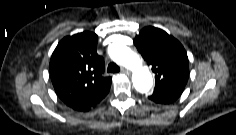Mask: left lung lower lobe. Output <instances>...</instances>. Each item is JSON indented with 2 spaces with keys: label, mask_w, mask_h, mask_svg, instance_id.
I'll return each instance as SVG.
<instances>
[{
  "label": "left lung lower lobe",
  "mask_w": 236,
  "mask_h": 135,
  "mask_svg": "<svg viewBox=\"0 0 236 135\" xmlns=\"http://www.w3.org/2000/svg\"><path fill=\"white\" fill-rule=\"evenodd\" d=\"M183 85L154 89L148 98L156 103L169 104L177 100L184 90Z\"/></svg>",
  "instance_id": "obj_1"
}]
</instances>
